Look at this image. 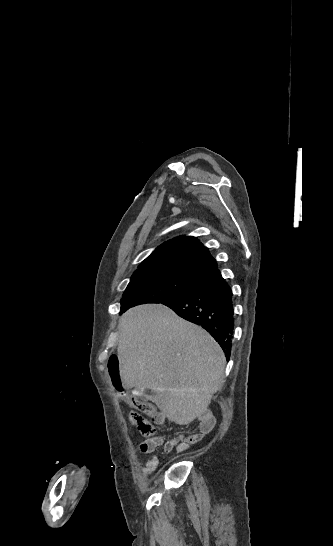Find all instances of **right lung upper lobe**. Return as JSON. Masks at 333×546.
<instances>
[{"instance_id":"1","label":"right lung upper lobe","mask_w":333,"mask_h":546,"mask_svg":"<svg viewBox=\"0 0 333 546\" xmlns=\"http://www.w3.org/2000/svg\"><path fill=\"white\" fill-rule=\"evenodd\" d=\"M217 267L208 248L197 238L180 236L160 245L139 265L134 275L167 273L202 280Z\"/></svg>"}]
</instances>
